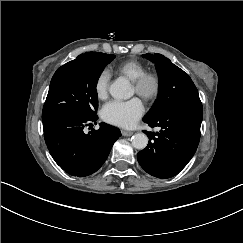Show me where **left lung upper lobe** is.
I'll return each mask as SVG.
<instances>
[{"label":"left lung upper lobe","mask_w":243,"mask_h":243,"mask_svg":"<svg viewBox=\"0 0 243 243\" xmlns=\"http://www.w3.org/2000/svg\"><path fill=\"white\" fill-rule=\"evenodd\" d=\"M143 56L155 63L159 78L158 98L143 118L144 122L155 120L178 103L201 102L196 86L182 69L161 54Z\"/></svg>","instance_id":"1"}]
</instances>
